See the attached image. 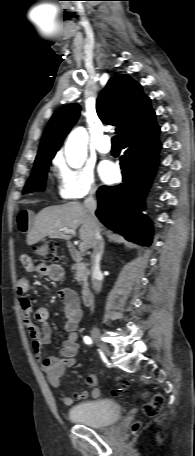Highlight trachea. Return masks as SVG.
Returning <instances> with one entry per match:
<instances>
[{"label": "trachea", "instance_id": "trachea-1", "mask_svg": "<svg viewBox=\"0 0 195 456\" xmlns=\"http://www.w3.org/2000/svg\"><path fill=\"white\" fill-rule=\"evenodd\" d=\"M113 147H120V137L118 135L112 138Z\"/></svg>", "mask_w": 195, "mask_h": 456}]
</instances>
